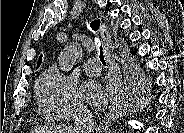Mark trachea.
<instances>
[{
    "label": "trachea",
    "mask_w": 184,
    "mask_h": 133,
    "mask_svg": "<svg viewBox=\"0 0 184 133\" xmlns=\"http://www.w3.org/2000/svg\"><path fill=\"white\" fill-rule=\"evenodd\" d=\"M99 59L101 61V63L103 65H106L105 59H104V55H103V51H102V46H100V55H99Z\"/></svg>",
    "instance_id": "3493384b"
}]
</instances>
